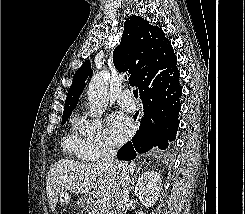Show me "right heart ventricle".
<instances>
[{"label": "right heart ventricle", "instance_id": "e07e8e85", "mask_svg": "<svg viewBox=\"0 0 245 214\" xmlns=\"http://www.w3.org/2000/svg\"><path fill=\"white\" fill-rule=\"evenodd\" d=\"M63 148L67 153L79 156L78 139L74 131L72 133H68L64 137Z\"/></svg>", "mask_w": 245, "mask_h": 214}]
</instances>
